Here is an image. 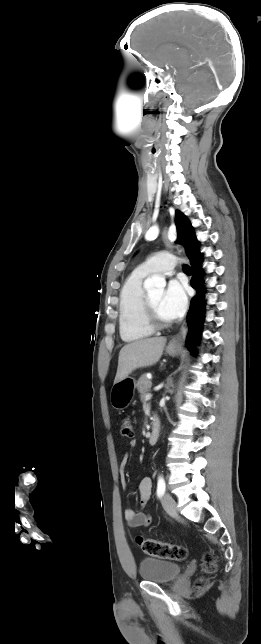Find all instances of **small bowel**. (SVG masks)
Returning <instances> with one entry per match:
<instances>
[{"label": "small bowel", "instance_id": "small-bowel-1", "mask_svg": "<svg viewBox=\"0 0 261 644\" xmlns=\"http://www.w3.org/2000/svg\"><path fill=\"white\" fill-rule=\"evenodd\" d=\"M136 444L137 443L135 440H132L130 442V445L132 447L136 446ZM128 458H129V455L126 453L123 456L122 461L120 463V481L124 488L127 487V483L123 472L128 462ZM151 489H152V481L149 477L142 478L138 483L137 490L139 494V502L141 507H144L149 501L151 497ZM124 518L127 526L131 529H139L141 527H145L149 525V518L142 509L134 510L132 508H127L124 511Z\"/></svg>", "mask_w": 261, "mask_h": 644}]
</instances>
